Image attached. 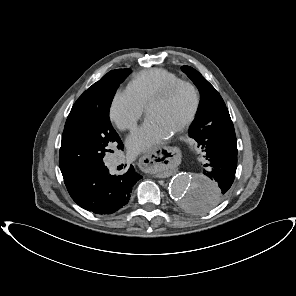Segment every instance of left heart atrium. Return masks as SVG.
<instances>
[{
	"instance_id": "obj_1",
	"label": "left heart atrium",
	"mask_w": 296,
	"mask_h": 296,
	"mask_svg": "<svg viewBox=\"0 0 296 296\" xmlns=\"http://www.w3.org/2000/svg\"><path fill=\"white\" fill-rule=\"evenodd\" d=\"M172 133L157 119L148 116L143 125L129 136L127 146L133 154L143 153L163 143Z\"/></svg>"
}]
</instances>
